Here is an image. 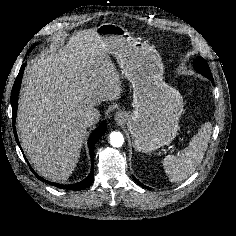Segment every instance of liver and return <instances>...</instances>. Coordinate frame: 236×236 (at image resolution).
<instances>
[{"label":"liver","mask_w":236,"mask_h":236,"mask_svg":"<svg viewBox=\"0 0 236 236\" xmlns=\"http://www.w3.org/2000/svg\"><path fill=\"white\" fill-rule=\"evenodd\" d=\"M121 81L96 29L31 61L18 104L21 146L44 178L65 182L74 171L87 134L83 113L121 97Z\"/></svg>","instance_id":"6515ba94"}]
</instances>
